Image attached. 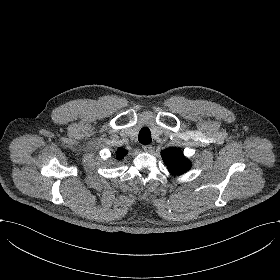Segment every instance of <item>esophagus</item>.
<instances>
[{"label":"esophagus","mask_w":280,"mask_h":280,"mask_svg":"<svg viewBox=\"0 0 280 280\" xmlns=\"http://www.w3.org/2000/svg\"><path fill=\"white\" fill-rule=\"evenodd\" d=\"M142 148H143V151L146 153H150L152 151L151 145H143Z\"/></svg>","instance_id":"1"}]
</instances>
